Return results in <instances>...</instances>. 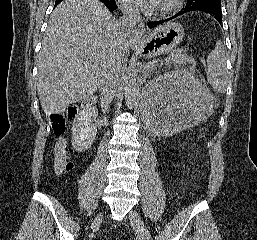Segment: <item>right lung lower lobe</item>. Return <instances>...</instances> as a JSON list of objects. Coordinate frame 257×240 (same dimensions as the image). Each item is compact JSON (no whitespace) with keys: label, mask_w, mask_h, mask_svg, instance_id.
Masks as SVG:
<instances>
[{"label":"right lung lower lobe","mask_w":257,"mask_h":240,"mask_svg":"<svg viewBox=\"0 0 257 240\" xmlns=\"http://www.w3.org/2000/svg\"><path fill=\"white\" fill-rule=\"evenodd\" d=\"M100 1H102L111 12H113L117 8L115 0H100Z\"/></svg>","instance_id":"1"}]
</instances>
